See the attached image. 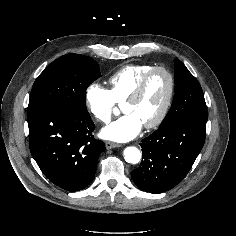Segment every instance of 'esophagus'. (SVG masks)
Wrapping results in <instances>:
<instances>
[{
  "label": "esophagus",
  "instance_id": "esophagus-1",
  "mask_svg": "<svg viewBox=\"0 0 236 236\" xmlns=\"http://www.w3.org/2000/svg\"><path fill=\"white\" fill-rule=\"evenodd\" d=\"M105 145H106V148H107V149H112V148H116V147H119V146H120L119 144L114 143V142H110V141H107V142L105 143Z\"/></svg>",
  "mask_w": 236,
  "mask_h": 236
}]
</instances>
